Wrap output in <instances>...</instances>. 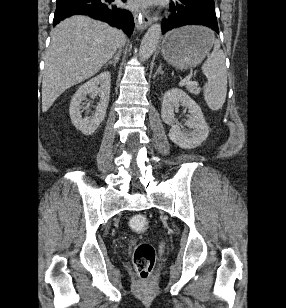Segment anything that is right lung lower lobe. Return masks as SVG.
Wrapping results in <instances>:
<instances>
[{
  "label": "right lung lower lobe",
  "instance_id": "obj_1",
  "mask_svg": "<svg viewBox=\"0 0 286 308\" xmlns=\"http://www.w3.org/2000/svg\"><path fill=\"white\" fill-rule=\"evenodd\" d=\"M114 0H57L53 24L72 15H88L124 30L130 36L134 29L132 14L111 3ZM124 1V0H122Z\"/></svg>",
  "mask_w": 286,
  "mask_h": 308
}]
</instances>
